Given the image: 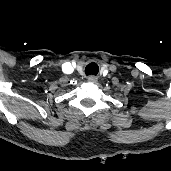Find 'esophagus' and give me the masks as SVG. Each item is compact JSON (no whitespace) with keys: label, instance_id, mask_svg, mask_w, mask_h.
I'll list each match as a JSON object with an SVG mask.
<instances>
[{"label":"esophagus","instance_id":"1","mask_svg":"<svg viewBox=\"0 0 171 171\" xmlns=\"http://www.w3.org/2000/svg\"><path fill=\"white\" fill-rule=\"evenodd\" d=\"M88 81L91 82V83H95L97 81V77L91 75V76L88 77Z\"/></svg>","mask_w":171,"mask_h":171}]
</instances>
